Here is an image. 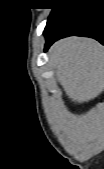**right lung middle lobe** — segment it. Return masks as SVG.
<instances>
[{
	"label": "right lung middle lobe",
	"instance_id": "obj_1",
	"mask_svg": "<svg viewBox=\"0 0 104 169\" xmlns=\"http://www.w3.org/2000/svg\"><path fill=\"white\" fill-rule=\"evenodd\" d=\"M68 3H70V0H60V3L54 4L52 12L48 18V22L62 9L64 5H67Z\"/></svg>",
	"mask_w": 104,
	"mask_h": 169
}]
</instances>
